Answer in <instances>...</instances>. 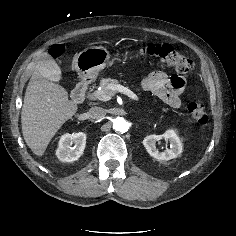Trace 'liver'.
Returning a JSON list of instances; mask_svg holds the SVG:
<instances>
[{
    "label": "liver",
    "mask_w": 236,
    "mask_h": 236,
    "mask_svg": "<svg viewBox=\"0 0 236 236\" xmlns=\"http://www.w3.org/2000/svg\"><path fill=\"white\" fill-rule=\"evenodd\" d=\"M47 68L38 62L28 83L21 125L24 140L32 152L42 156L56 132L70 118L78 106L68 99V92L53 83Z\"/></svg>",
    "instance_id": "obj_1"
}]
</instances>
